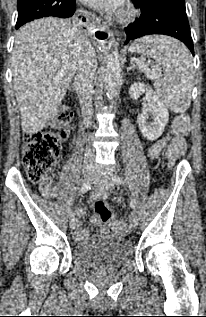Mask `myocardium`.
<instances>
[{
	"instance_id": "myocardium-1",
	"label": "myocardium",
	"mask_w": 206,
	"mask_h": 317,
	"mask_svg": "<svg viewBox=\"0 0 206 317\" xmlns=\"http://www.w3.org/2000/svg\"><path fill=\"white\" fill-rule=\"evenodd\" d=\"M133 16L134 11L131 8H124L119 14V19L121 22H126L132 19Z\"/></svg>"
}]
</instances>
